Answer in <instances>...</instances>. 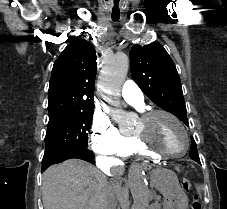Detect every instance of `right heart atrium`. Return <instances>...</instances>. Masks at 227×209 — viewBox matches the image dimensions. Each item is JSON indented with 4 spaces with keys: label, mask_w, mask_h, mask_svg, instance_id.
I'll list each match as a JSON object with an SVG mask.
<instances>
[{
    "label": "right heart atrium",
    "mask_w": 227,
    "mask_h": 209,
    "mask_svg": "<svg viewBox=\"0 0 227 209\" xmlns=\"http://www.w3.org/2000/svg\"><path fill=\"white\" fill-rule=\"evenodd\" d=\"M91 144L93 152L105 158L123 155L128 137L123 135L109 120L97 117L92 125Z\"/></svg>",
    "instance_id": "1"
}]
</instances>
